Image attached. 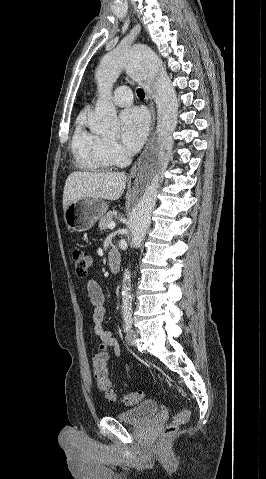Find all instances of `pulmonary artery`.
I'll use <instances>...</instances> for the list:
<instances>
[{"label":"pulmonary artery","instance_id":"pulmonary-artery-1","mask_svg":"<svg viewBox=\"0 0 266 479\" xmlns=\"http://www.w3.org/2000/svg\"><path fill=\"white\" fill-rule=\"evenodd\" d=\"M132 90L128 86L118 87L113 95V102L120 107H126L132 104Z\"/></svg>","mask_w":266,"mask_h":479}]
</instances>
